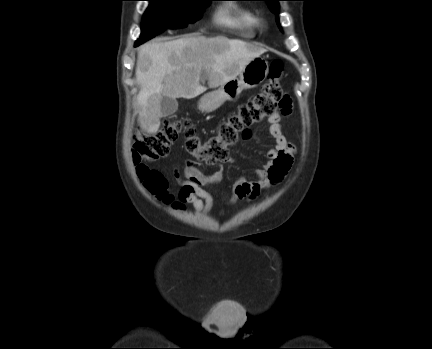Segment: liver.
<instances>
[{
    "mask_svg": "<svg viewBox=\"0 0 432 349\" xmlns=\"http://www.w3.org/2000/svg\"><path fill=\"white\" fill-rule=\"evenodd\" d=\"M264 52L260 46L225 36L190 35L142 45L136 65L141 128L148 133L158 131L162 97L194 98L207 90L200 84L202 76H208L210 88L218 87L236 78Z\"/></svg>",
    "mask_w": 432,
    "mask_h": 349,
    "instance_id": "6515ba94",
    "label": "liver"
}]
</instances>
